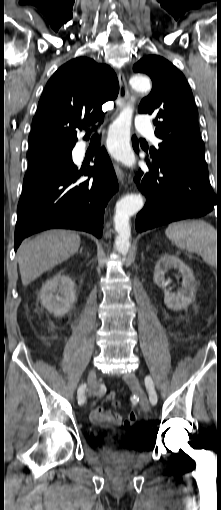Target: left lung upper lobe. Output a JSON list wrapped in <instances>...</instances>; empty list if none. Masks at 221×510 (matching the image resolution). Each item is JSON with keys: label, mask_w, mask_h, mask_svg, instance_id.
Listing matches in <instances>:
<instances>
[{"label": "left lung upper lobe", "mask_w": 221, "mask_h": 510, "mask_svg": "<svg viewBox=\"0 0 221 510\" xmlns=\"http://www.w3.org/2000/svg\"><path fill=\"white\" fill-rule=\"evenodd\" d=\"M133 70L152 79L151 93L138 109L139 113L155 116V134L162 139L158 148L150 149L152 161L158 166H182L208 175L198 111L184 75L158 55L143 57Z\"/></svg>", "instance_id": "obj_1"}]
</instances>
